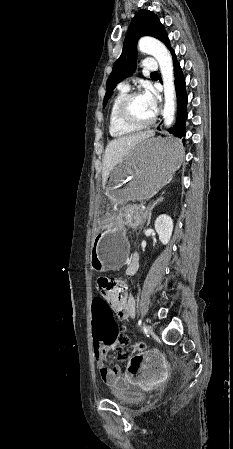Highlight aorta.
Returning <instances> with one entry per match:
<instances>
[{
  "label": "aorta",
  "instance_id": "obj_1",
  "mask_svg": "<svg viewBox=\"0 0 233 449\" xmlns=\"http://www.w3.org/2000/svg\"><path fill=\"white\" fill-rule=\"evenodd\" d=\"M138 46L141 52L154 56L159 63L165 96L164 125L170 127L175 115V87L171 55L164 44L151 37L140 39Z\"/></svg>",
  "mask_w": 233,
  "mask_h": 449
}]
</instances>
